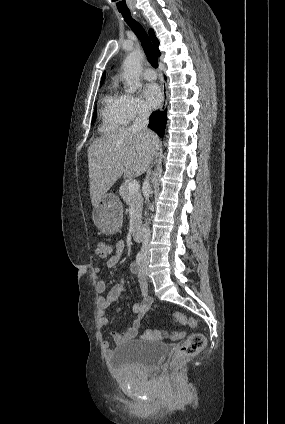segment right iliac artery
<instances>
[{
	"label": "right iliac artery",
	"mask_w": 285,
	"mask_h": 424,
	"mask_svg": "<svg viewBox=\"0 0 285 424\" xmlns=\"http://www.w3.org/2000/svg\"><path fill=\"white\" fill-rule=\"evenodd\" d=\"M143 260V253L139 252L136 256V262L140 265Z\"/></svg>",
	"instance_id": "1"
}]
</instances>
